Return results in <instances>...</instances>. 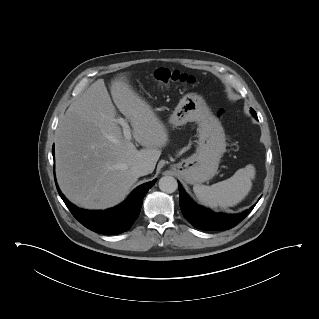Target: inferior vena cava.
Masks as SVG:
<instances>
[{
    "mask_svg": "<svg viewBox=\"0 0 319 319\" xmlns=\"http://www.w3.org/2000/svg\"><path fill=\"white\" fill-rule=\"evenodd\" d=\"M131 171L138 177L144 176L150 173V166L147 162H139L131 167Z\"/></svg>",
    "mask_w": 319,
    "mask_h": 319,
    "instance_id": "inferior-vena-cava-1",
    "label": "inferior vena cava"
}]
</instances>
